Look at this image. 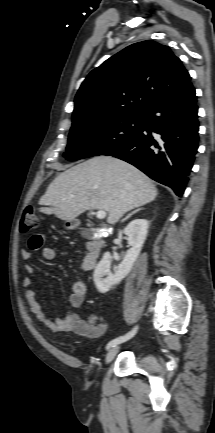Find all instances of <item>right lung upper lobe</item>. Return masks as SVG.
<instances>
[{
    "mask_svg": "<svg viewBox=\"0 0 215 433\" xmlns=\"http://www.w3.org/2000/svg\"><path fill=\"white\" fill-rule=\"evenodd\" d=\"M190 79L169 47L150 40L132 44L84 80L75 97L73 124L143 116L154 103Z\"/></svg>",
    "mask_w": 215,
    "mask_h": 433,
    "instance_id": "right-lung-upper-lobe-1",
    "label": "right lung upper lobe"
}]
</instances>
